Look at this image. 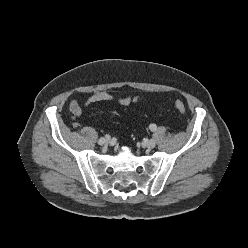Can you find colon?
Instances as JSON below:
<instances>
[{
    "mask_svg": "<svg viewBox=\"0 0 248 248\" xmlns=\"http://www.w3.org/2000/svg\"><path fill=\"white\" fill-rule=\"evenodd\" d=\"M175 107L176 109L181 113V114H184L185 111H186V107L184 105V103L180 100H176L175 101Z\"/></svg>",
    "mask_w": 248,
    "mask_h": 248,
    "instance_id": "5ec220e1",
    "label": "colon"
}]
</instances>
